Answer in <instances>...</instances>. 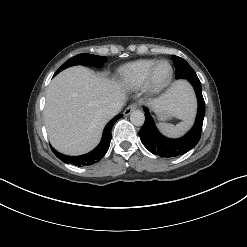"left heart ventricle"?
Returning <instances> with one entry per match:
<instances>
[{"label":"left heart ventricle","instance_id":"obj_1","mask_svg":"<svg viewBox=\"0 0 247 247\" xmlns=\"http://www.w3.org/2000/svg\"><path fill=\"white\" fill-rule=\"evenodd\" d=\"M169 65L167 63H162L156 70L155 79L157 81L165 80L169 75Z\"/></svg>","mask_w":247,"mask_h":247}]
</instances>
